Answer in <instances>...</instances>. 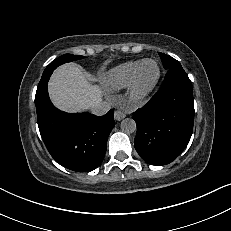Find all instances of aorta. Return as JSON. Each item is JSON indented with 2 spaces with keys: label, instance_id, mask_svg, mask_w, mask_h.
Wrapping results in <instances>:
<instances>
[{
  "label": "aorta",
  "instance_id": "1",
  "mask_svg": "<svg viewBox=\"0 0 231 231\" xmlns=\"http://www.w3.org/2000/svg\"><path fill=\"white\" fill-rule=\"evenodd\" d=\"M121 130L124 133L130 134L136 131V122L131 118H125L121 121Z\"/></svg>",
  "mask_w": 231,
  "mask_h": 231
}]
</instances>
